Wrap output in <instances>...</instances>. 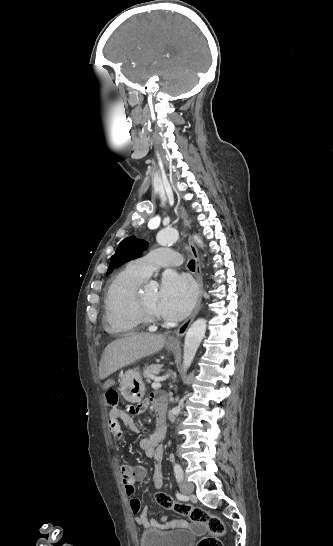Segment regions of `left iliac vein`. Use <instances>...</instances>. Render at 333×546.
I'll return each mask as SVG.
<instances>
[{
    "instance_id": "obj_1",
    "label": "left iliac vein",
    "mask_w": 333,
    "mask_h": 546,
    "mask_svg": "<svg viewBox=\"0 0 333 546\" xmlns=\"http://www.w3.org/2000/svg\"><path fill=\"white\" fill-rule=\"evenodd\" d=\"M193 489H194V486L190 482L182 481L180 483V490L183 494H186V495L191 494L193 492Z\"/></svg>"
}]
</instances>
